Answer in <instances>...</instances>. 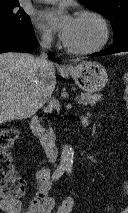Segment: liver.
<instances>
[{
	"label": "liver",
	"mask_w": 128,
	"mask_h": 213,
	"mask_svg": "<svg viewBox=\"0 0 128 213\" xmlns=\"http://www.w3.org/2000/svg\"><path fill=\"white\" fill-rule=\"evenodd\" d=\"M41 80L36 59L25 53L0 54V124L33 116L41 106L38 87ZM46 84L56 85L52 65Z\"/></svg>",
	"instance_id": "1"
}]
</instances>
